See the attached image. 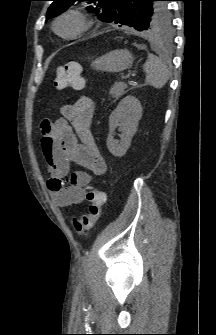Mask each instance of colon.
I'll list each match as a JSON object with an SVG mask.
<instances>
[{"label":"colon","instance_id":"5ec220e1","mask_svg":"<svg viewBox=\"0 0 216 335\" xmlns=\"http://www.w3.org/2000/svg\"><path fill=\"white\" fill-rule=\"evenodd\" d=\"M84 83L82 66L78 62H68L58 66L55 70L54 86L57 89L64 90L70 87L79 89L83 87ZM86 198L89 202L87 212L72 219L73 227L78 233L92 230L103 214L102 206L105 201V194L102 191L90 186L87 189Z\"/></svg>","mask_w":216,"mask_h":335}]
</instances>
